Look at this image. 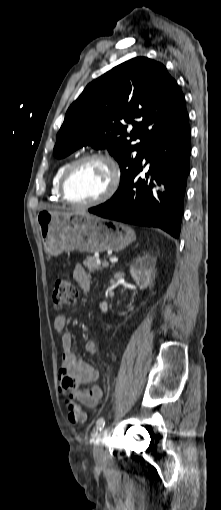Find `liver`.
Masks as SVG:
<instances>
[{
    "mask_svg": "<svg viewBox=\"0 0 221 510\" xmlns=\"http://www.w3.org/2000/svg\"><path fill=\"white\" fill-rule=\"evenodd\" d=\"M75 213H84V212H75Z\"/></svg>",
    "mask_w": 221,
    "mask_h": 510,
    "instance_id": "liver-1",
    "label": "liver"
}]
</instances>
